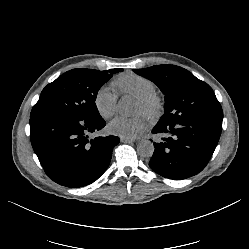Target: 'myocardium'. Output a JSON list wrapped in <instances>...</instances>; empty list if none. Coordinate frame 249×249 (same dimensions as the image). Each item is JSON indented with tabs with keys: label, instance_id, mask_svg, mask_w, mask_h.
<instances>
[{
	"label": "myocardium",
	"instance_id": "obj_1",
	"mask_svg": "<svg viewBox=\"0 0 249 249\" xmlns=\"http://www.w3.org/2000/svg\"><path fill=\"white\" fill-rule=\"evenodd\" d=\"M142 105L143 115L153 124L157 123L165 112V102L157 93L137 98Z\"/></svg>",
	"mask_w": 249,
	"mask_h": 249
}]
</instances>
